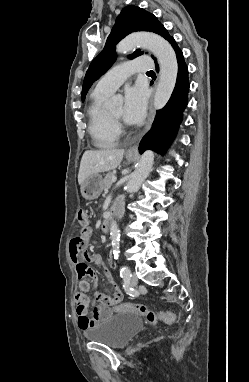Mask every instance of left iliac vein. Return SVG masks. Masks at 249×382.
<instances>
[{"label": "left iliac vein", "instance_id": "4c4485c4", "mask_svg": "<svg viewBox=\"0 0 249 382\" xmlns=\"http://www.w3.org/2000/svg\"><path fill=\"white\" fill-rule=\"evenodd\" d=\"M137 283H138V278L135 274H133L130 278V285L134 287L137 285Z\"/></svg>", "mask_w": 249, "mask_h": 382}]
</instances>
